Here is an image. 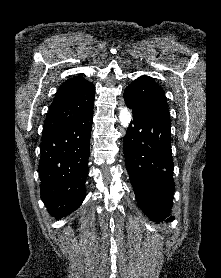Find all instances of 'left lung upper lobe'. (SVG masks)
I'll return each instance as SVG.
<instances>
[{
    "mask_svg": "<svg viewBox=\"0 0 221 278\" xmlns=\"http://www.w3.org/2000/svg\"><path fill=\"white\" fill-rule=\"evenodd\" d=\"M127 107L143 114L169 113L161 87L150 77L141 76L124 91Z\"/></svg>",
    "mask_w": 221,
    "mask_h": 278,
    "instance_id": "left-lung-upper-lobe-1",
    "label": "left lung upper lobe"
}]
</instances>
